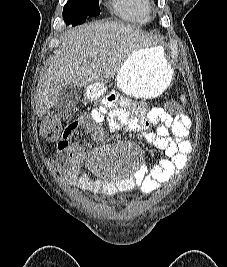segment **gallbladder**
<instances>
[{
	"instance_id": "gallbladder-1",
	"label": "gallbladder",
	"mask_w": 227,
	"mask_h": 267,
	"mask_svg": "<svg viewBox=\"0 0 227 267\" xmlns=\"http://www.w3.org/2000/svg\"><path fill=\"white\" fill-rule=\"evenodd\" d=\"M81 99L80 88L68 85L59 91L56 102L53 108L61 115L66 114L78 104Z\"/></svg>"
}]
</instances>
